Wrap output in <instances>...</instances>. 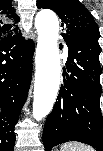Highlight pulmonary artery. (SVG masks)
I'll list each match as a JSON object with an SVG mask.
<instances>
[{"mask_svg": "<svg viewBox=\"0 0 103 151\" xmlns=\"http://www.w3.org/2000/svg\"><path fill=\"white\" fill-rule=\"evenodd\" d=\"M68 49H67V47L65 46V51H67Z\"/></svg>", "mask_w": 103, "mask_h": 151, "instance_id": "pulmonary-artery-1", "label": "pulmonary artery"}]
</instances>
